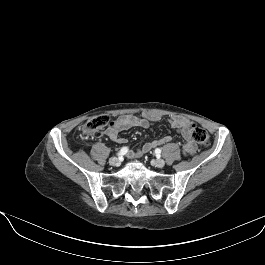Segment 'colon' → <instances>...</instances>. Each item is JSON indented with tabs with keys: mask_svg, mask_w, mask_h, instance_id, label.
<instances>
[{
	"mask_svg": "<svg viewBox=\"0 0 265 265\" xmlns=\"http://www.w3.org/2000/svg\"><path fill=\"white\" fill-rule=\"evenodd\" d=\"M110 118L105 115L97 116L91 120H89L83 128V132L88 137L100 136L102 134V130L110 125ZM192 137L194 141L202 146L208 147L210 145V137L206 130L198 127L197 125H192Z\"/></svg>",
	"mask_w": 265,
	"mask_h": 265,
	"instance_id": "5ec220e1",
	"label": "colon"
}]
</instances>
